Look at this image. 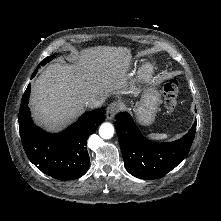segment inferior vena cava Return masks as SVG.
<instances>
[{
	"label": "inferior vena cava",
	"instance_id": "1",
	"mask_svg": "<svg viewBox=\"0 0 221 221\" xmlns=\"http://www.w3.org/2000/svg\"><path fill=\"white\" fill-rule=\"evenodd\" d=\"M104 98L92 97L86 102V106L89 108H97L103 104Z\"/></svg>",
	"mask_w": 221,
	"mask_h": 221
}]
</instances>
